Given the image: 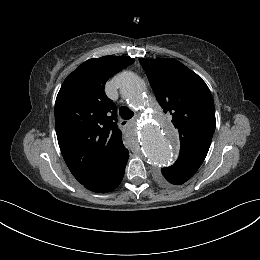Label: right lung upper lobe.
Returning <instances> with one entry per match:
<instances>
[{
    "label": "right lung upper lobe",
    "mask_w": 260,
    "mask_h": 260,
    "mask_svg": "<svg viewBox=\"0 0 260 260\" xmlns=\"http://www.w3.org/2000/svg\"><path fill=\"white\" fill-rule=\"evenodd\" d=\"M135 60L89 59L64 80L55 102L56 133L63 158L82 185L104 179L129 158L116 124L117 112L105 83Z\"/></svg>",
    "instance_id": "1"
}]
</instances>
